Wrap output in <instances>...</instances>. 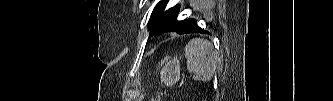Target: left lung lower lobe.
I'll use <instances>...</instances> for the list:
<instances>
[{"mask_svg":"<svg viewBox=\"0 0 333 101\" xmlns=\"http://www.w3.org/2000/svg\"><path fill=\"white\" fill-rule=\"evenodd\" d=\"M178 7V6H177ZM173 32H176L178 34H186V33H208L204 30H202L196 23V20L194 19H188L180 21V24L176 29L173 30Z\"/></svg>","mask_w":333,"mask_h":101,"instance_id":"obj_1","label":"left lung lower lobe"}]
</instances>
